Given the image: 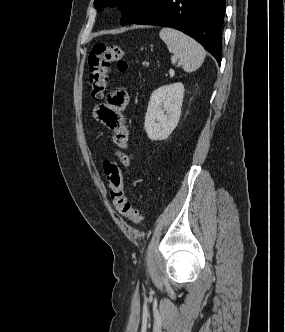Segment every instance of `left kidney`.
<instances>
[{
    "mask_svg": "<svg viewBox=\"0 0 285 332\" xmlns=\"http://www.w3.org/2000/svg\"><path fill=\"white\" fill-rule=\"evenodd\" d=\"M184 97V85L173 83L156 89L150 97L145 130L153 141L165 140L178 125Z\"/></svg>",
    "mask_w": 285,
    "mask_h": 332,
    "instance_id": "obj_1",
    "label": "left kidney"
}]
</instances>
